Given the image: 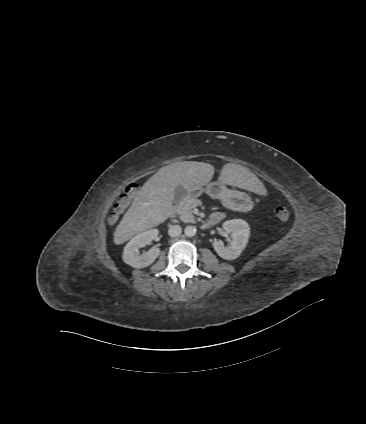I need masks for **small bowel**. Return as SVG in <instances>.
Returning a JSON list of instances; mask_svg holds the SVG:
<instances>
[{
    "mask_svg": "<svg viewBox=\"0 0 366 424\" xmlns=\"http://www.w3.org/2000/svg\"><path fill=\"white\" fill-rule=\"evenodd\" d=\"M224 217V213L221 211H215L212 216L211 219L214 220L216 223H218L219 221H221Z\"/></svg>",
    "mask_w": 366,
    "mask_h": 424,
    "instance_id": "obj_1",
    "label": "small bowel"
}]
</instances>
